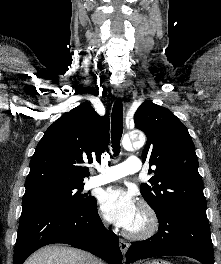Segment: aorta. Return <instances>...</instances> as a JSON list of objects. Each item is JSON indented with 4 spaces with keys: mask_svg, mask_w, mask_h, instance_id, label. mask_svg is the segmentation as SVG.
I'll return each instance as SVG.
<instances>
[{
    "mask_svg": "<svg viewBox=\"0 0 221 264\" xmlns=\"http://www.w3.org/2000/svg\"><path fill=\"white\" fill-rule=\"evenodd\" d=\"M132 138H133V146L135 148H140L145 143V137L142 134H133ZM122 145H123L124 149H126V150H129L132 146L129 138H124L122 141Z\"/></svg>",
    "mask_w": 221,
    "mask_h": 264,
    "instance_id": "aorta-1",
    "label": "aorta"
}]
</instances>
